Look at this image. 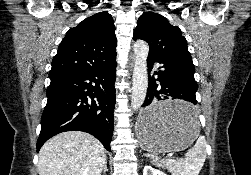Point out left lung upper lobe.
Returning a JSON list of instances; mask_svg holds the SVG:
<instances>
[{"label":"left lung upper lobe","mask_w":251,"mask_h":175,"mask_svg":"<svg viewBox=\"0 0 251 175\" xmlns=\"http://www.w3.org/2000/svg\"><path fill=\"white\" fill-rule=\"evenodd\" d=\"M133 39L146 41L150 48L149 54H156L168 62L195 69L187 41L182 36L180 28L171 25L160 14L144 12L138 19Z\"/></svg>","instance_id":"obj_1"}]
</instances>
